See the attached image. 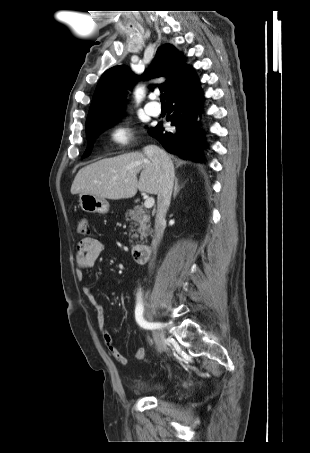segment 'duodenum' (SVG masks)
Wrapping results in <instances>:
<instances>
[{
  "label": "duodenum",
  "instance_id": "410a0bca",
  "mask_svg": "<svg viewBox=\"0 0 310 453\" xmlns=\"http://www.w3.org/2000/svg\"><path fill=\"white\" fill-rule=\"evenodd\" d=\"M132 254L137 263H146L151 255V248L147 244H137L132 248Z\"/></svg>",
  "mask_w": 310,
  "mask_h": 453
}]
</instances>
